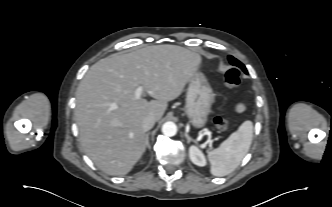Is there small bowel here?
I'll list each match as a JSON object with an SVG mask.
<instances>
[{"mask_svg": "<svg viewBox=\"0 0 332 207\" xmlns=\"http://www.w3.org/2000/svg\"><path fill=\"white\" fill-rule=\"evenodd\" d=\"M237 109H238V110H243V106H242V105H238V106H237Z\"/></svg>", "mask_w": 332, "mask_h": 207, "instance_id": "1", "label": "small bowel"}]
</instances>
